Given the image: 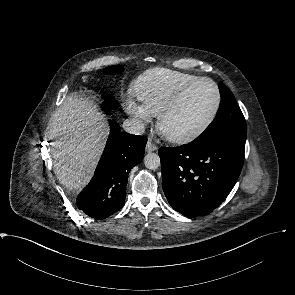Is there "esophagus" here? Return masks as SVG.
Listing matches in <instances>:
<instances>
[{"label": "esophagus", "instance_id": "obj_1", "mask_svg": "<svg viewBox=\"0 0 295 295\" xmlns=\"http://www.w3.org/2000/svg\"><path fill=\"white\" fill-rule=\"evenodd\" d=\"M146 152H152L157 150V146L153 144L152 142H147L146 147H145Z\"/></svg>", "mask_w": 295, "mask_h": 295}]
</instances>
